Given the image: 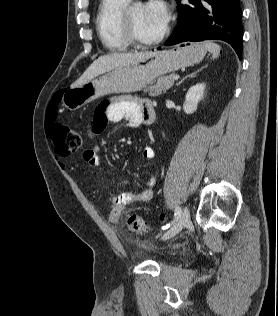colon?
I'll return each instance as SVG.
<instances>
[{"instance_id":"1","label":"colon","mask_w":278,"mask_h":316,"mask_svg":"<svg viewBox=\"0 0 278 316\" xmlns=\"http://www.w3.org/2000/svg\"><path fill=\"white\" fill-rule=\"evenodd\" d=\"M48 137L53 145L54 151L60 156H68L77 152L83 142L81 132L70 126L53 124L49 127ZM126 224L130 231L144 234L147 226L143 218L137 214H129Z\"/></svg>"}]
</instances>
